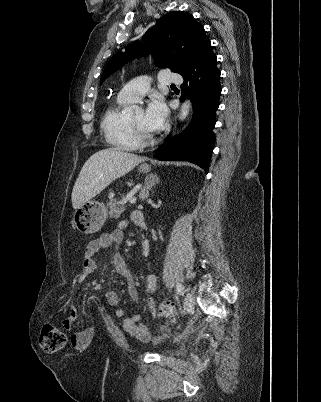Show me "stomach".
<instances>
[{"label":"stomach","mask_w":321,"mask_h":402,"mask_svg":"<svg viewBox=\"0 0 321 402\" xmlns=\"http://www.w3.org/2000/svg\"><path fill=\"white\" fill-rule=\"evenodd\" d=\"M139 170L143 173L150 171V166L146 163L140 165ZM108 216V208L105 203L90 199L76 209L73 216L74 227L84 234H92L101 229Z\"/></svg>","instance_id":"0dacf381"}]
</instances>
